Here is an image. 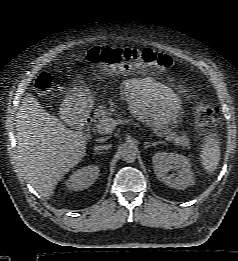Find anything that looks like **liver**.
Here are the masks:
<instances>
[{"instance_id":"1","label":"liver","mask_w":238,"mask_h":261,"mask_svg":"<svg viewBox=\"0 0 238 261\" xmlns=\"http://www.w3.org/2000/svg\"><path fill=\"white\" fill-rule=\"evenodd\" d=\"M17 148L23 173L43 197L49 199L57 183L86 154V138L67 129L25 93L16 119Z\"/></svg>"}]
</instances>
